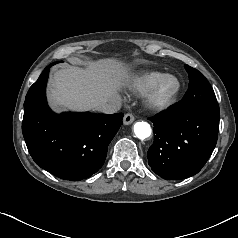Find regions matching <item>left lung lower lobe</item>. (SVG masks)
Segmentation results:
<instances>
[{
	"mask_svg": "<svg viewBox=\"0 0 238 238\" xmlns=\"http://www.w3.org/2000/svg\"><path fill=\"white\" fill-rule=\"evenodd\" d=\"M218 104H206L187 112L177 105L150 120L156 133L148 150L151 169L166 180H180L198 173L212 154L218 137Z\"/></svg>",
	"mask_w": 238,
	"mask_h": 238,
	"instance_id": "0a47b994",
	"label": "left lung lower lobe"
}]
</instances>
